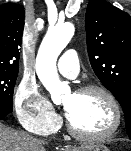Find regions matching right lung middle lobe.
I'll list each match as a JSON object with an SVG mask.
<instances>
[{
  "mask_svg": "<svg viewBox=\"0 0 131 151\" xmlns=\"http://www.w3.org/2000/svg\"><path fill=\"white\" fill-rule=\"evenodd\" d=\"M18 69H0V111L11 113Z\"/></svg>",
  "mask_w": 131,
  "mask_h": 151,
  "instance_id": "1",
  "label": "right lung middle lobe"
}]
</instances>
